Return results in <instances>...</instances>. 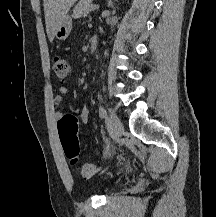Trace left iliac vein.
<instances>
[{"instance_id":"1","label":"left iliac vein","mask_w":216,"mask_h":217,"mask_svg":"<svg viewBox=\"0 0 216 217\" xmlns=\"http://www.w3.org/2000/svg\"><path fill=\"white\" fill-rule=\"evenodd\" d=\"M108 125L112 134V137L119 141V139L124 134V127L120 119L114 114L111 113L108 118Z\"/></svg>"}]
</instances>
